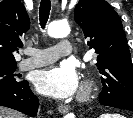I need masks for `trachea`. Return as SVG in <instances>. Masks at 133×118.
Returning <instances> with one entry per match:
<instances>
[{
	"label": "trachea",
	"instance_id": "3493384b",
	"mask_svg": "<svg viewBox=\"0 0 133 118\" xmlns=\"http://www.w3.org/2000/svg\"><path fill=\"white\" fill-rule=\"evenodd\" d=\"M51 9L50 0H42L39 8L40 25L44 29L49 18Z\"/></svg>",
	"mask_w": 133,
	"mask_h": 118
}]
</instances>
